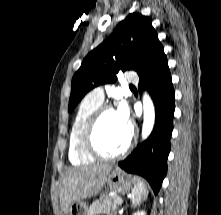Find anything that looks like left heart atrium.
I'll use <instances>...</instances> for the list:
<instances>
[{
	"instance_id": "left-heart-atrium-1",
	"label": "left heart atrium",
	"mask_w": 221,
	"mask_h": 215,
	"mask_svg": "<svg viewBox=\"0 0 221 215\" xmlns=\"http://www.w3.org/2000/svg\"><path fill=\"white\" fill-rule=\"evenodd\" d=\"M116 114L119 118V120L121 121V123L125 126H127L128 128H130V115H129V110H128V107L127 105L122 102L117 111H116Z\"/></svg>"
}]
</instances>
